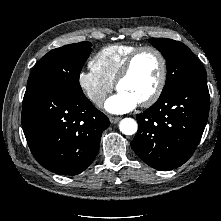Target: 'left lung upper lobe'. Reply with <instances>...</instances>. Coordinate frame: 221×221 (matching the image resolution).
Returning a JSON list of instances; mask_svg holds the SVG:
<instances>
[{
	"label": "left lung upper lobe",
	"instance_id": "obj_1",
	"mask_svg": "<svg viewBox=\"0 0 221 221\" xmlns=\"http://www.w3.org/2000/svg\"><path fill=\"white\" fill-rule=\"evenodd\" d=\"M149 42L162 52L167 64L165 94L182 83L196 78H206V71L191 50L183 43L171 39L151 38Z\"/></svg>",
	"mask_w": 221,
	"mask_h": 221
}]
</instances>
